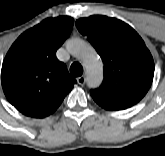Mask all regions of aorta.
<instances>
[{"mask_svg": "<svg viewBox=\"0 0 165 156\" xmlns=\"http://www.w3.org/2000/svg\"><path fill=\"white\" fill-rule=\"evenodd\" d=\"M68 52L79 59L87 74V85L90 88L98 87L103 80V64L92 46L81 39H71L67 42Z\"/></svg>", "mask_w": 165, "mask_h": 156, "instance_id": "aorta-1", "label": "aorta"}]
</instances>
